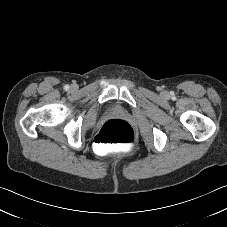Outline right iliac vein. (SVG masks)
<instances>
[{
  "label": "right iliac vein",
  "instance_id": "63e3f726",
  "mask_svg": "<svg viewBox=\"0 0 227 227\" xmlns=\"http://www.w3.org/2000/svg\"><path fill=\"white\" fill-rule=\"evenodd\" d=\"M71 89H72V90L76 89V86H75V85H73V86L71 87Z\"/></svg>",
  "mask_w": 227,
  "mask_h": 227
}]
</instances>
